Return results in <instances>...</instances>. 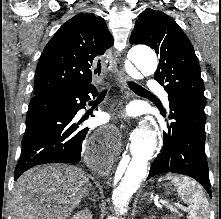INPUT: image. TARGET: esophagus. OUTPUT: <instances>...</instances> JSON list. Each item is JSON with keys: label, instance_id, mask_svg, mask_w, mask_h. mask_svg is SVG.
<instances>
[{"label": "esophagus", "instance_id": "34e87169", "mask_svg": "<svg viewBox=\"0 0 221 219\" xmlns=\"http://www.w3.org/2000/svg\"><path fill=\"white\" fill-rule=\"evenodd\" d=\"M128 79V76L127 74L125 73L124 69L123 68H120L118 71H117V80L119 81V84H120V87L122 89H125L126 88V83L125 81Z\"/></svg>", "mask_w": 221, "mask_h": 219}]
</instances>
